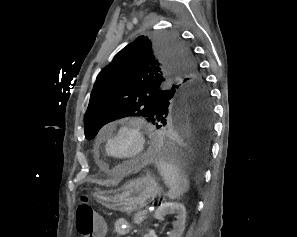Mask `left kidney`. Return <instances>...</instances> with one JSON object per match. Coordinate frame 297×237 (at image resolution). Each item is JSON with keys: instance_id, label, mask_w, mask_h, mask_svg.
Masks as SVG:
<instances>
[{"instance_id": "obj_1", "label": "left kidney", "mask_w": 297, "mask_h": 237, "mask_svg": "<svg viewBox=\"0 0 297 237\" xmlns=\"http://www.w3.org/2000/svg\"><path fill=\"white\" fill-rule=\"evenodd\" d=\"M167 214H176L174 229L168 233V237H181L185 230L186 209L185 206L177 202H166L159 206L155 211L154 217L162 219ZM144 237H153L151 233L145 234Z\"/></svg>"}]
</instances>
